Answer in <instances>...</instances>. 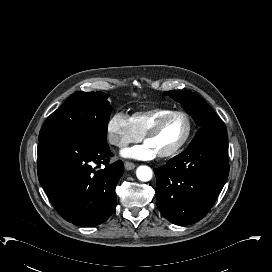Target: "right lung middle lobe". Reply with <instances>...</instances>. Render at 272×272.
<instances>
[{
  "label": "right lung middle lobe",
  "mask_w": 272,
  "mask_h": 272,
  "mask_svg": "<svg viewBox=\"0 0 272 272\" xmlns=\"http://www.w3.org/2000/svg\"><path fill=\"white\" fill-rule=\"evenodd\" d=\"M103 92H75L45 121L39 141L61 135L107 139L110 103Z\"/></svg>",
  "instance_id": "right-lung-middle-lobe-1"
}]
</instances>
